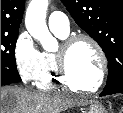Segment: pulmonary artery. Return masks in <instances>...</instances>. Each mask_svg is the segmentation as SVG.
I'll list each match as a JSON object with an SVG mask.
<instances>
[{"instance_id": "pulmonary-artery-1", "label": "pulmonary artery", "mask_w": 123, "mask_h": 113, "mask_svg": "<svg viewBox=\"0 0 123 113\" xmlns=\"http://www.w3.org/2000/svg\"><path fill=\"white\" fill-rule=\"evenodd\" d=\"M48 26L51 31L68 34L70 31V22L68 17L62 12H53L48 18Z\"/></svg>"}]
</instances>
